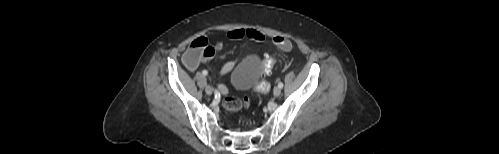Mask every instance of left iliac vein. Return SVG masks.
I'll return each mask as SVG.
<instances>
[{"label": "left iliac vein", "mask_w": 499, "mask_h": 154, "mask_svg": "<svg viewBox=\"0 0 499 154\" xmlns=\"http://www.w3.org/2000/svg\"><path fill=\"white\" fill-rule=\"evenodd\" d=\"M273 94H274V96H275V97L280 96V94H281V88H280V87H278V86H276V87L274 88V90H273Z\"/></svg>", "instance_id": "obj_1"}]
</instances>
